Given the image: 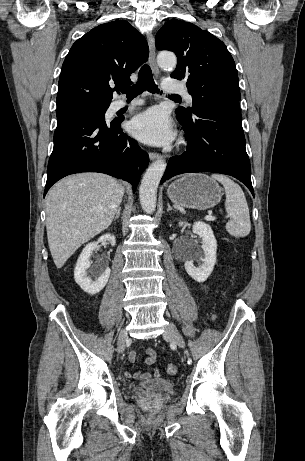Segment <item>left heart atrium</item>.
Returning a JSON list of instances; mask_svg holds the SVG:
<instances>
[{"label": "left heart atrium", "instance_id": "left-heart-atrium-1", "mask_svg": "<svg viewBox=\"0 0 305 461\" xmlns=\"http://www.w3.org/2000/svg\"><path fill=\"white\" fill-rule=\"evenodd\" d=\"M130 129L136 138L152 145L168 144L175 136L167 113L159 107L151 108L134 117Z\"/></svg>", "mask_w": 305, "mask_h": 461}]
</instances>
